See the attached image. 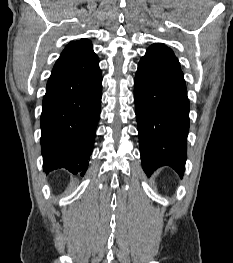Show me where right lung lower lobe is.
<instances>
[{"instance_id":"right-lung-lower-lobe-1","label":"right lung lower lobe","mask_w":233,"mask_h":263,"mask_svg":"<svg viewBox=\"0 0 233 263\" xmlns=\"http://www.w3.org/2000/svg\"><path fill=\"white\" fill-rule=\"evenodd\" d=\"M102 75L99 60L87 72L51 74L43 98V170L65 168L83 176L100 117Z\"/></svg>"}]
</instances>
